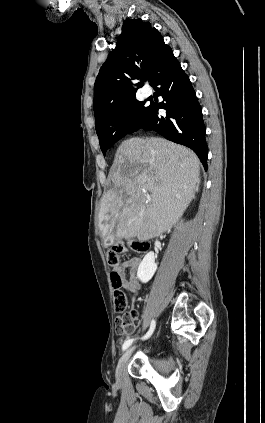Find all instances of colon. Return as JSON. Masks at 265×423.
Instances as JSON below:
<instances>
[{"label": "colon", "instance_id": "5ec220e1", "mask_svg": "<svg viewBox=\"0 0 265 423\" xmlns=\"http://www.w3.org/2000/svg\"><path fill=\"white\" fill-rule=\"evenodd\" d=\"M148 246L147 242L140 240H130L127 243H117L108 250L106 254L107 264L110 266H116L119 264L121 257L125 255L129 249L137 253H142L148 249ZM112 281L115 287H119L121 280L117 273L113 274ZM114 305L116 311L120 314L117 319L116 332L118 334L131 332L134 327L136 312L128 310L126 296L119 288L114 291Z\"/></svg>", "mask_w": 265, "mask_h": 423}]
</instances>
